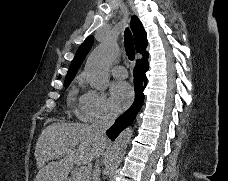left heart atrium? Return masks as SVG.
<instances>
[{"instance_id": "obj_1", "label": "left heart atrium", "mask_w": 228, "mask_h": 181, "mask_svg": "<svg viewBox=\"0 0 228 181\" xmlns=\"http://www.w3.org/2000/svg\"><path fill=\"white\" fill-rule=\"evenodd\" d=\"M133 90L128 83L116 82L112 86V97L116 105L124 107L132 98Z\"/></svg>"}]
</instances>
